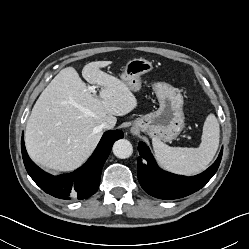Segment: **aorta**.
Masks as SVG:
<instances>
[{"mask_svg": "<svg viewBox=\"0 0 249 249\" xmlns=\"http://www.w3.org/2000/svg\"><path fill=\"white\" fill-rule=\"evenodd\" d=\"M113 153L120 159L129 158L133 153L132 144L126 139H119L113 145Z\"/></svg>", "mask_w": 249, "mask_h": 249, "instance_id": "obj_1", "label": "aorta"}]
</instances>
